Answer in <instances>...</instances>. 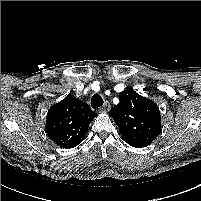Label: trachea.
Instances as JSON below:
<instances>
[{
    "label": "trachea",
    "mask_w": 201,
    "mask_h": 201,
    "mask_svg": "<svg viewBox=\"0 0 201 201\" xmlns=\"http://www.w3.org/2000/svg\"><path fill=\"white\" fill-rule=\"evenodd\" d=\"M104 101L99 94H94L91 99V106L93 109H97L103 105Z\"/></svg>",
    "instance_id": "trachea-1"
}]
</instances>
